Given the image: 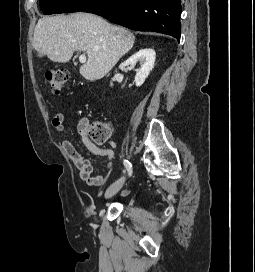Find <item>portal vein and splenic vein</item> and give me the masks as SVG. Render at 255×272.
Returning a JSON list of instances; mask_svg holds the SVG:
<instances>
[{
	"instance_id": "18ae733b",
	"label": "portal vein and splenic vein",
	"mask_w": 255,
	"mask_h": 272,
	"mask_svg": "<svg viewBox=\"0 0 255 272\" xmlns=\"http://www.w3.org/2000/svg\"><path fill=\"white\" fill-rule=\"evenodd\" d=\"M79 61H80L81 63H85V62H86V56H85V54H81V55H80Z\"/></svg>"
}]
</instances>
